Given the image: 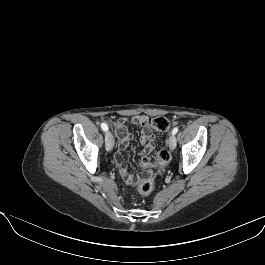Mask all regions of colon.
Returning <instances> with one entry per match:
<instances>
[{"label":"colon","mask_w":265,"mask_h":265,"mask_svg":"<svg viewBox=\"0 0 265 265\" xmlns=\"http://www.w3.org/2000/svg\"><path fill=\"white\" fill-rule=\"evenodd\" d=\"M143 124L159 132H167L170 129V122L166 117L158 116L152 118H146ZM171 158L170 152L163 148L157 150L152 155L145 157L142 160V168L149 172L151 168H161L166 163L169 162ZM153 189V181L151 177L147 174L142 176L138 180V190L141 194H148Z\"/></svg>","instance_id":"5ec220e1"}]
</instances>
